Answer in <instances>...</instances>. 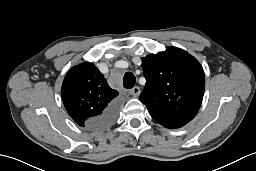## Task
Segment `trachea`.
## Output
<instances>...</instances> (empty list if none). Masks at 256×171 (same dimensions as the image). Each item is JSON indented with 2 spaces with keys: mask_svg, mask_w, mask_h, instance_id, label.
Returning a JSON list of instances; mask_svg holds the SVG:
<instances>
[{
  "mask_svg": "<svg viewBox=\"0 0 256 171\" xmlns=\"http://www.w3.org/2000/svg\"><path fill=\"white\" fill-rule=\"evenodd\" d=\"M136 83V77L131 72H126L123 77V86L126 89H131Z\"/></svg>",
  "mask_w": 256,
  "mask_h": 171,
  "instance_id": "1",
  "label": "trachea"
}]
</instances>
